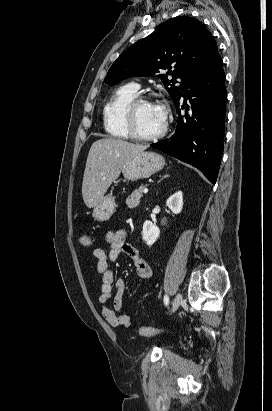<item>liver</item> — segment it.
<instances>
[{
	"mask_svg": "<svg viewBox=\"0 0 272 411\" xmlns=\"http://www.w3.org/2000/svg\"><path fill=\"white\" fill-rule=\"evenodd\" d=\"M146 149L147 146L120 139L103 138L95 141L88 153L82 182L86 206H97L120 175L123 165Z\"/></svg>",
	"mask_w": 272,
	"mask_h": 411,
	"instance_id": "obj_1",
	"label": "liver"
}]
</instances>
